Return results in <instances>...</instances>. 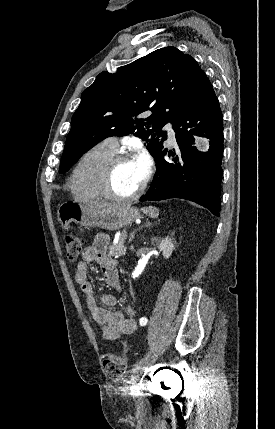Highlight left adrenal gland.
I'll return each mask as SVG.
<instances>
[{"instance_id":"left-adrenal-gland-1","label":"left adrenal gland","mask_w":275,"mask_h":429,"mask_svg":"<svg viewBox=\"0 0 275 429\" xmlns=\"http://www.w3.org/2000/svg\"><path fill=\"white\" fill-rule=\"evenodd\" d=\"M151 225H152V223H150L147 220V222L143 226L139 227V229H137V230H140V229H142L144 227H150ZM137 230H134L133 232L130 233L129 242H132V240L134 239V236H135V233H136Z\"/></svg>"}]
</instances>
